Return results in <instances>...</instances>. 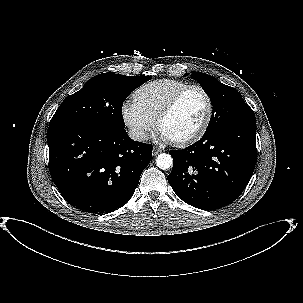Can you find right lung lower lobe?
<instances>
[{"mask_svg": "<svg viewBox=\"0 0 303 303\" xmlns=\"http://www.w3.org/2000/svg\"><path fill=\"white\" fill-rule=\"evenodd\" d=\"M49 171L64 199L93 214L124 206L152 158V145L125 129L93 124L49 126Z\"/></svg>", "mask_w": 303, "mask_h": 303, "instance_id": "right-lung-lower-lobe-1", "label": "right lung lower lobe"}]
</instances>
